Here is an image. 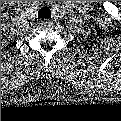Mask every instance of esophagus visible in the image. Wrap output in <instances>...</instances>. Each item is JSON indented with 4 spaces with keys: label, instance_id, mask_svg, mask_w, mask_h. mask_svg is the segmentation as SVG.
I'll list each match as a JSON object with an SVG mask.
<instances>
[{
    "label": "esophagus",
    "instance_id": "1",
    "mask_svg": "<svg viewBox=\"0 0 121 121\" xmlns=\"http://www.w3.org/2000/svg\"><path fill=\"white\" fill-rule=\"evenodd\" d=\"M41 24L45 27H49L51 25V22L48 19H43Z\"/></svg>",
    "mask_w": 121,
    "mask_h": 121
}]
</instances>
